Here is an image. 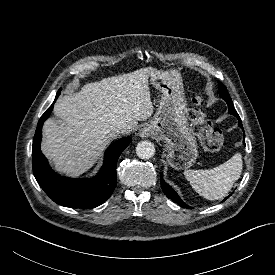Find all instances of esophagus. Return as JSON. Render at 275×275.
Wrapping results in <instances>:
<instances>
[{
    "label": "esophagus",
    "instance_id": "1",
    "mask_svg": "<svg viewBox=\"0 0 275 275\" xmlns=\"http://www.w3.org/2000/svg\"><path fill=\"white\" fill-rule=\"evenodd\" d=\"M148 135H150V130L148 128H144V129L141 130L140 136L146 137Z\"/></svg>",
    "mask_w": 275,
    "mask_h": 275
}]
</instances>
